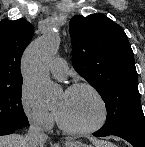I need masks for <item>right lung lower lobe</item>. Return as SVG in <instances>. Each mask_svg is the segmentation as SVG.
<instances>
[{
	"mask_svg": "<svg viewBox=\"0 0 145 147\" xmlns=\"http://www.w3.org/2000/svg\"><path fill=\"white\" fill-rule=\"evenodd\" d=\"M19 129H13V130H0V135H7V134H11L14 133L15 131H17Z\"/></svg>",
	"mask_w": 145,
	"mask_h": 147,
	"instance_id": "obj_1",
	"label": "right lung lower lobe"
}]
</instances>
